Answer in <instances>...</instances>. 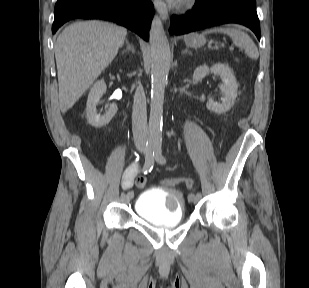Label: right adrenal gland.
I'll use <instances>...</instances> for the list:
<instances>
[{
	"label": "right adrenal gland",
	"mask_w": 309,
	"mask_h": 288,
	"mask_svg": "<svg viewBox=\"0 0 309 288\" xmlns=\"http://www.w3.org/2000/svg\"><path fill=\"white\" fill-rule=\"evenodd\" d=\"M126 45L127 47L126 49L122 51V54L127 53L129 51H131L132 53H135L134 47L131 44H129L128 40H126Z\"/></svg>",
	"instance_id": "1"
}]
</instances>
